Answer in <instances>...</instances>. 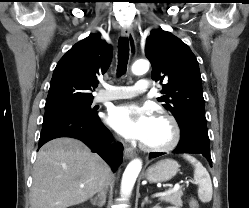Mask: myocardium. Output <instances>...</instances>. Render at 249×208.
Returning a JSON list of instances; mask_svg holds the SVG:
<instances>
[{
    "mask_svg": "<svg viewBox=\"0 0 249 208\" xmlns=\"http://www.w3.org/2000/svg\"><path fill=\"white\" fill-rule=\"evenodd\" d=\"M155 119L162 120L168 124L171 130L170 139L162 145H151L144 143L142 148L150 152H165L173 149L180 141L181 130L177 120L165 112H157L155 114Z\"/></svg>",
    "mask_w": 249,
    "mask_h": 208,
    "instance_id": "1",
    "label": "myocardium"
}]
</instances>
